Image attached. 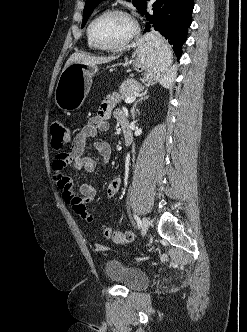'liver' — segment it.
I'll use <instances>...</instances> for the list:
<instances>
[{
  "label": "liver",
  "mask_w": 247,
  "mask_h": 332,
  "mask_svg": "<svg viewBox=\"0 0 247 332\" xmlns=\"http://www.w3.org/2000/svg\"><path fill=\"white\" fill-rule=\"evenodd\" d=\"M117 57L111 56V57H97L92 56L86 53H74L72 54L69 59L67 60L64 69L69 66L71 63L79 62L87 65H98V64H104L111 62L112 60L116 59Z\"/></svg>",
  "instance_id": "obj_1"
}]
</instances>
